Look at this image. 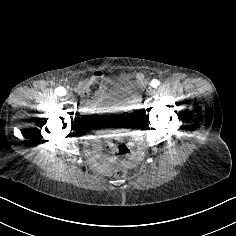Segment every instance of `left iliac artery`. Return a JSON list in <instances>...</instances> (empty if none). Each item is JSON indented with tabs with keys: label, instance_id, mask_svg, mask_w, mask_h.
Masks as SVG:
<instances>
[{
	"label": "left iliac artery",
	"instance_id": "1",
	"mask_svg": "<svg viewBox=\"0 0 236 236\" xmlns=\"http://www.w3.org/2000/svg\"><path fill=\"white\" fill-rule=\"evenodd\" d=\"M160 84V82L157 80V79H153L152 81H151V86L152 87H154V88H156L158 85Z\"/></svg>",
	"mask_w": 236,
	"mask_h": 236
}]
</instances>
